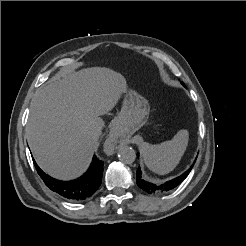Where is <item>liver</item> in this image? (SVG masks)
I'll return each instance as SVG.
<instances>
[{
	"label": "liver",
	"instance_id": "liver-1",
	"mask_svg": "<svg viewBox=\"0 0 246 246\" xmlns=\"http://www.w3.org/2000/svg\"><path fill=\"white\" fill-rule=\"evenodd\" d=\"M127 91L125 78L108 68H88L50 80L34 95L26 127L38 165L58 179H72L88 167L98 137L92 125Z\"/></svg>",
	"mask_w": 246,
	"mask_h": 246
}]
</instances>
